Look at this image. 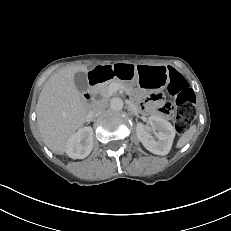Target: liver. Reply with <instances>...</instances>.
<instances>
[{"label": "liver", "instance_id": "1", "mask_svg": "<svg viewBox=\"0 0 231 231\" xmlns=\"http://www.w3.org/2000/svg\"><path fill=\"white\" fill-rule=\"evenodd\" d=\"M86 65L66 67L51 76L37 102V121L45 145L55 154L66 152L69 138L85 123L87 110L74 76L87 72Z\"/></svg>", "mask_w": 231, "mask_h": 231}]
</instances>
